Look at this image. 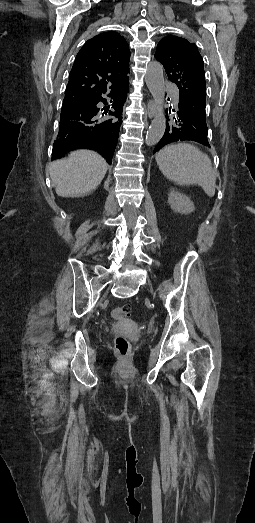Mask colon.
I'll return each instance as SVG.
<instances>
[{
	"instance_id": "5ec220e1",
	"label": "colon",
	"mask_w": 255,
	"mask_h": 523,
	"mask_svg": "<svg viewBox=\"0 0 255 523\" xmlns=\"http://www.w3.org/2000/svg\"><path fill=\"white\" fill-rule=\"evenodd\" d=\"M131 308L129 305H124L122 307H116L112 311V316L115 319H125L130 316ZM114 347L116 352L122 356L125 357L130 352V343L127 340L126 337H124L121 334H116L114 337Z\"/></svg>"
}]
</instances>
